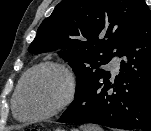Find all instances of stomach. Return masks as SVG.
Instances as JSON below:
<instances>
[{
    "label": "stomach",
    "instance_id": "0dacf381",
    "mask_svg": "<svg viewBox=\"0 0 151 131\" xmlns=\"http://www.w3.org/2000/svg\"><path fill=\"white\" fill-rule=\"evenodd\" d=\"M57 131H61L60 129H58ZM72 131H77V130H72Z\"/></svg>",
    "mask_w": 151,
    "mask_h": 131
}]
</instances>
